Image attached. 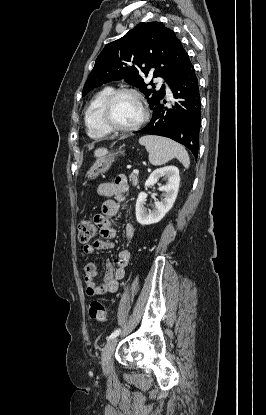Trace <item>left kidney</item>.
<instances>
[{"mask_svg": "<svg viewBox=\"0 0 266 415\" xmlns=\"http://www.w3.org/2000/svg\"><path fill=\"white\" fill-rule=\"evenodd\" d=\"M166 181V184L159 187L160 191H163L164 198L162 201L155 203V209L147 210L144 207L147 194L140 192L136 201V219L141 225H150L159 222L166 213L172 208L179 189L180 176L179 169L175 166H165L154 170L147 181L145 182V188L153 186L157 181L162 178Z\"/></svg>", "mask_w": 266, "mask_h": 415, "instance_id": "obj_1", "label": "left kidney"}]
</instances>
